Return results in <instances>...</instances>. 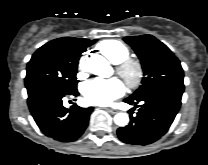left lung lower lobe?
Returning <instances> with one entry per match:
<instances>
[{
  "mask_svg": "<svg viewBox=\"0 0 208 165\" xmlns=\"http://www.w3.org/2000/svg\"><path fill=\"white\" fill-rule=\"evenodd\" d=\"M184 85L157 87L139 98H127L129 104L142 102L136 115L129 110L130 123L117 130L121 141L132 145H147L161 138L170 128L181 105ZM138 107V105H135Z\"/></svg>",
  "mask_w": 208,
  "mask_h": 165,
  "instance_id": "obj_1",
  "label": "left lung lower lobe"
}]
</instances>
